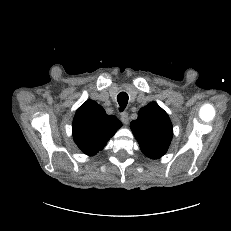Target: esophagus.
Returning <instances> with one entry per match:
<instances>
[{
  "label": "esophagus",
  "mask_w": 231,
  "mask_h": 231,
  "mask_svg": "<svg viewBox=\"0 0 231 231\" xmlns=\"http://www.w3.org/2000/svg\"><path fill=\"white\" fill-rule=\"evenodd\" d=\"M121 121L123 122V124L127 125L128 122H129V116H128V113L127 112H123L121 113Z\"/></svg>",
  "instance_id": "34e87169"
}]
</instances>
